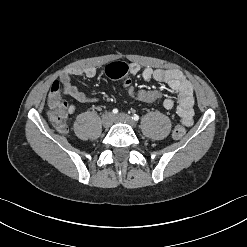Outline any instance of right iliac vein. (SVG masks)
<instances>
[{
	"label": "right iliac vein",
	"instance_id": "right-iliac-vein-1",
	"mask_svg": "<svg viewBox=\"0 0 247 247\" xmlns=\"http://www.w3.org/2000/svg\"><path fill=\"white\" fill-rule=\"evenodd\" d=\"M114 116L112 113L107 112L102 116V125L104 128H109L113 123Z\"/></svg>",
	"mask_w": 247,
	"mask_h": 247
}]
</instances>
